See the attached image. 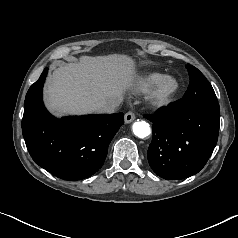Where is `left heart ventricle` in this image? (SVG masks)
Masks as SVG:
<instances>
[{"label":"left heart ventricle","instance_id":"obj_1","mask_svg":"<svg viewBox=\"0 0 238 238\" xmlns=\"http://www.w3.org/2000/svg\"><path fill=\"white\" fill-rule=\"evenodd\" d=\"M166 87H167V88L171 87V84H167Z\"/></svg>","mask_w":238,"mask_h":238}]
</instances>
